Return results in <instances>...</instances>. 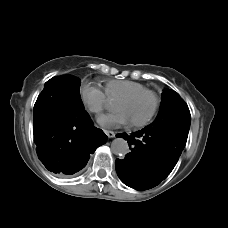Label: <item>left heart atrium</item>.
<instances>
[{
    "mask_svg": "<svg viewBox=\"0 0 228 228\" xmlns=\"http://www.w3.org/2000/svg\"><path fill=\"white\" fill-rule=\"evenodd\" d=\"M121 120H122V122H126V118H125V117H124V118H122Z\"/></svg>",
    "mask_w": 228,
    "mask_h": 228,
    "instance_id": "39dd6f15",
    "label": "left heart atrium"
}]
</instances>
